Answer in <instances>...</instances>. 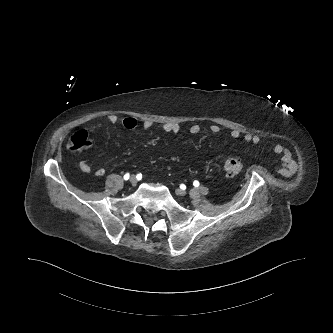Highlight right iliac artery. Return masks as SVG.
<instances>
[{
    "mask_svg": "<svg viewBox=\"0 0 333 333\" xmlns=\"http://www.w3.org/2000/svg\"><path fill=\"white\" fill-rule=\"evenodd\" d=\"M129 177H130L129 173H126V174L124 175V180H128Z\"/></svg>",
    "mask_w": 333,
    "mask_h": 333,
    "instance_id": "1",
    "label": "right iliac artery"
}]
</instances>
